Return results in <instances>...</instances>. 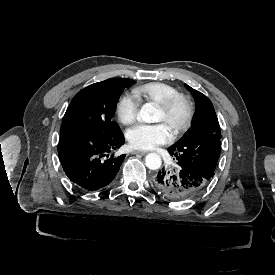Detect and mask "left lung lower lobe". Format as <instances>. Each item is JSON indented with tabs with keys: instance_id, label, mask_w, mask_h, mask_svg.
Segmentation results:
<instances>
[{
	"instance_id": "left-lung-lower-lobe-1",
	"label": "left lung lower lobe",
	"mask_w": 275,
	"mask_h": 275,
	"mask_svg": "<svg viewBox=\"0 0 275 275\" xmlns=\"http://www.w3.org/2000/svg\"><path fill=\"white\" fill-rule=\"evenodd\" d=\"M209 180L184 165L176 169L162 168L153 179L157 191L169 200L193 198L203 192Z\"/></svg>"
}]
</instances>
